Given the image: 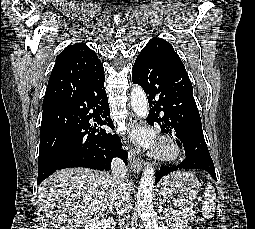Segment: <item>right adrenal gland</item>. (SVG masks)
Instances as JSON below:
<instances>
[{
	"label": "right adrenal gland",
	"instance_id": "right-adrenal-gland-1",
	"mask_svg": "<svg viewBox=\"0 0 255 229\" xmlns=\"http://www.w3.org/2000/svg\"><path fill=\"white\" fill-rule=\"evenodd\" d=\"M111 212H112L113 215H116V214H117V212H115V211H111Z\"/></svg>",
	"mask_w": 255,
	"mask_h": 229
}]
</instances>
